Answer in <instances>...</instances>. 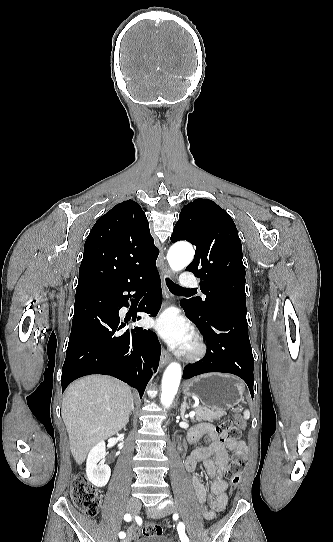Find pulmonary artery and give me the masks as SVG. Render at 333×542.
<instances>
[{
	"mask_svg": "<svg viewBox=\"0 0 333 542\" xmlns=\"http://www.w3.org/2000/svg\"><path fill=\"white\" fill-rule=\"evenodd\" d=\"M196 275L195 274H192V273H188V274H182L180 276V281L182 282V286L185 288V289H191V288H194L195 287V282H196ZM202 297L204 298L205 295L202 293L201 294Z\"/></svg>",
	"mask_w": 333,
	"mask_h": 542,
	"instance_id": "e3ab8cb5",
	"label": "pulmonary artery"
}]
</instances>
